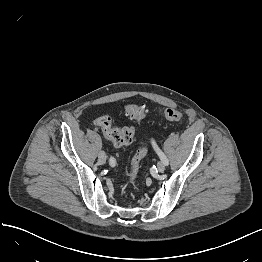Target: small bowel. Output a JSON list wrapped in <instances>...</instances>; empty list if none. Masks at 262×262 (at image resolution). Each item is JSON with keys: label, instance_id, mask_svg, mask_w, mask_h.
Wrapping results in <instances>:
<instances>
[{"label": "small bowel", "instance_id": "obj_1", "mask_svg": "<svg viewBox=\"0 0 262 262\" xmlns=\"http://www.w3.org/2000/svg\"><path fill=\"white\" fill-rule=\"evenodd\" d=\"M100 118H101V117H100ZM100 118H98V119L95 120V124H96V125H98L97 122H98V120H99ZM152 141H153V143H154V140H153V139H152ZM114 165H115V162L113 163L112 166H114Z\"/></svg>", "mask_w": 262, "mask_h": 262}]
</instances>
